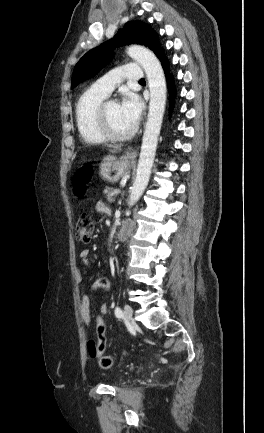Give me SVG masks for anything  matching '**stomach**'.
<instances>
[{
    "label": "stomach",
    "instance_id": "0dacf381",
    "mask_svg": "<svg viewBox=\"0 0 264 433\" xmlns=\"http://www.w3.org/2000/svg\"><path fill=\"white\" fill-rule=\"evenodd\" d=\"M132 157L125 154L120 159L108 155L100 163V176L109 183H116L127 174L132 167Z\"/></svg>",
    "mask_w": 264,
    "mask_h": 433
}]
</instances>
